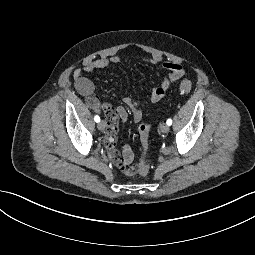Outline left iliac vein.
Listing matches in <instances>:
<instances>
[{"instance_id": "1", "label": "left iliac vein", "mask_w": 255, "mask_h": 255, "mask_svg": "<svg viewBox=\"0 0 255 255\" xmlns=\"http://www.w3.org/2000/svg\"><path fill=\"white\" fill-rule=\"evenodd\" d=\"M160 130H161L162 133H168L169 130H170V127H169L168 124L162 123V124L160 125Z\"/></svg>"}]
</instances>
